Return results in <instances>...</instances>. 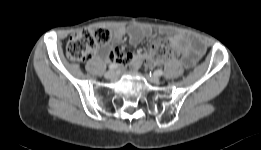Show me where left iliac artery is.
<instances>
[{
  "mask_svg": "<svg viewBox=\"0 0 261 150\" xmlns=\"http://www.w3.org/2000/svg\"><path fill=\"white\" fill-rule=\"evenodd\" d=\"M155 74L157 75V76H162L163 75V71L161 70V69H159V70H157L156 72H155ZM151 75V74H150Z\"/></svg>",
  "mask_w": 261,
  "mask_h": 150,
  "instance_id": "1",
  "label": "left iliac artery"
}]
</instances>
